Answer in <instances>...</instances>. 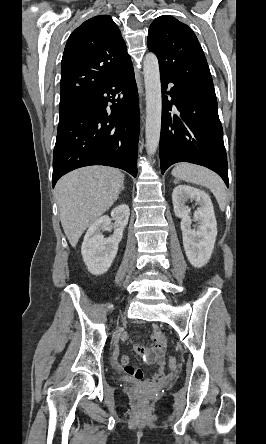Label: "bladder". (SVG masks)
<instances>
[{"instance_id": "bladder-1", "label": "bladder", "mask_w": 266, "mask_h": 444, "mask_svg": "<svg viewBox=\"0 0 266 444\" xmlns=\"http://www.w3.org/2000/svg\"><path fill=\"white\" fill-rule=\"evenodd\" d=\"M127 382H128V383H131V384H136V382L133 381V380H127Z\"/></svg>"}]
</instances>
